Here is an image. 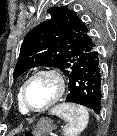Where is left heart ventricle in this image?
<instances>
[{
  "mask_svg": "<svg viewBox=\"0 0 117 136\" xmlns=\"http://www.w3.org/2000/svg\"><path fill=\"white\" fill-rule=\"evenodd\" d=\"M57 92L56 83L53 78L42 75L33 79L26 92L27 102L34 109L46 106Z\"/></svg>",
  "mask_w": 117,
  "mask_h": 136,
  "instance_id": "obj_1",
  "label": "left heart ventricle"
}]
</instances>
